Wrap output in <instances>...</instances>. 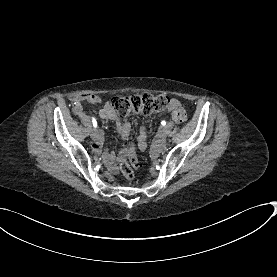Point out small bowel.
I'll list each match as a JSON object with an SVG mask.
<instances>
[{
    "instance_id": "c3829d8e",
    "label": "small bowel",
    "mask_w": 277,
    "mask_h": 277,
    "mask_svg": "<svg viewBox=\"0 0 277 277\" xmlns=\"http://www.w3.org/2000/svg\"><path fill=\"white\" fill-rule=\"evenodd\" d=\"M89 101L93 104H97L100 102V99L97 96H91L88 92H82L80 93L79 97L75 98V105L73 107V112L76 116H78L83 121H90V117L84 112L83 107L81 106L80 102L82 101ZM180 108V102L177 99H172L170 102V112L172 114L175 113ZM99 116L104 120L113 121L115 124L116 131L120 138L122 140H127L130 131H131V123L127 120L121 119L115 112L112 104L110 102H106L101 110L99 111ZM100 138H98L99 140ZM139 146L142 150H144L147 146V135L144 128H141L139 135L137 137ZM92 147L98 151V145L93 144ZM102 152L106 154V158L104 159V162L106 163V166L110 168L112 172H115L117 170V167L113 165V161H117L118 163H122L124 161V158L120 156L119 154H113L112 152H109V149L107 147H104L102 149Z\"/></svg>"
}]
</instances>
